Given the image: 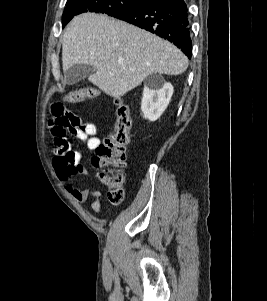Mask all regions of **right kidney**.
<instances>
[{"mask_svg":"<svg viewBox=\"0 0 267 301\" xmlns=\"http://www.w3.org/2000/svg\"><path fill=\"white\" fill-rule=\"evenodd\" d=\"M173 91L171 83L145 87L141 101V110L144 118L150 121H156L159 119L167 108Z\"/></svg>","mask_w":267,"mask_h":301,"instance_id":"ca27d5eb","label":"right kidney"}]
</instances>
